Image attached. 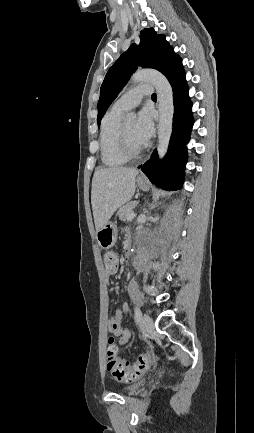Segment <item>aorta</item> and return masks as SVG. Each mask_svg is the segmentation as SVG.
Instances as JSON below:
<instances>
[{"mask_svg":"<svg viewBox=\"0 0 254 433\" xmlns=\"http://www.w3.org/2000/svg\"><path fill=\"white\" fill-rule=\"evenodd\" d=\"M130 82H150L156 89L159 109L157 152L159 158L162 159L167 153L172 134L174 114L172 87L167 78L156 70H138L133 74ZM135 117L134 113L126 114L128 120H133Z\"/></svg>","mask_w":254,"mask_h":433,"instance_id":"aorta-1","label":"aorta"}]
</instances>
